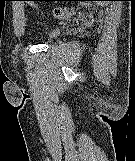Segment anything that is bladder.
Here are the masks:
<instances>
[{"label":"bladder","mask_w":135,"mask_h":161,"mask_svg":"<svg viewBox=\"0 0 135 161\" xmlns=\"http://www.w3.org/2000/svg\"><path fill=\"white\" fill-rule=\"evenodd\" d=\"M60 34V29L59 28H52L51 30H49L48 32V38L49 39H54L57 36H59Z\"/></svg>","instance_id":"31cf9c89"}]
</instances>
